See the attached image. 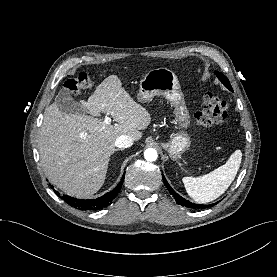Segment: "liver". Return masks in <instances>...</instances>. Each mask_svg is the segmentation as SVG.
<instances>
[{
  "label": "liver",
  "mask_w": 277,
  "mask_h": 277,
  "mask_svg": "<svg viewBox=\"0 0 277 277\" xmlns=\"http://www.w3.org/2000/svg\"><path fill=\"white\" fill-rule=\"evenodd\" d=\"M80 105L88 114L64 113L56 103L45 110L38 150L49 182L68 195L85 198L103 186L117 137L140 140V130L151 123V115L122 87L117 75L107 77ZM100 112L119 124H106L98 118Z\"/></svg>",
  "instance_id": "1"
}]
</instances>
